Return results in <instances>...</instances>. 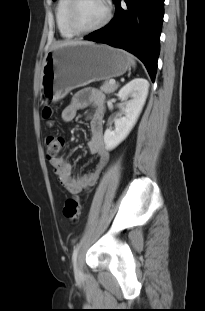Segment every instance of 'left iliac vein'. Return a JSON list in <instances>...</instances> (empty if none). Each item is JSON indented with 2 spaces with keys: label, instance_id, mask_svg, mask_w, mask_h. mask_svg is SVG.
<instances>
[{
  "label": "left iliac vein",
  "instance_id": "obj_1",
  "mask_svg": "<svg viewBox=\"0 0 205 311\" xmlns=\"http://www.w3.org/2000/svg\"><path fill=\"white\" fill-rule=\"evenodd\" d=\"M74 271H75V275L76 277H80L81 276V267H80V264L79 262H76L75 265H74Z\"/></svg>",
  "mask_w": 205,
  "mask_h": 311
}]
</instances>
